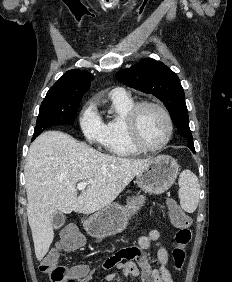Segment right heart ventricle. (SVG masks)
I'll return each instance as SVG.
<instances>
[{"label":"right heart ventricle","mask_w":232,"mask_h":282,"mask_svg":"<svg viewBox=\"0 0 232 282\" xmlns=\"http://www.w3.org/2000/svg\"><path fill=\"white\" fill-rule=\"evenodd\" d=\"M111 115L104 123L103 147L112 155L128 157L139 154L141 151L132 145L126 129V114L135 104L132 98L127 96H110Z\"/></svg>","instance_id":"1"}]
</instances>
